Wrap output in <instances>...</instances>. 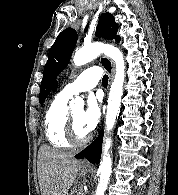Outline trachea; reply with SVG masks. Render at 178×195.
I'll return each mask as SVG.
<instances>
[{
    "label": "trachea",
    "instance_id": "1",
    "mask_svg": "<svg viewBox=\"0 0 178 195\" xmlns=\"http://www.w3.org/2000/svg\"><path fill=\"white\" fill-rule=\"evenodd\" d=\"M102 84H103L104 86H107V84H108V76H107V75H104V76H103Z\"/></svg>",
    "mask_w": 178,
    "mask_h": 195
}]
</instances>
